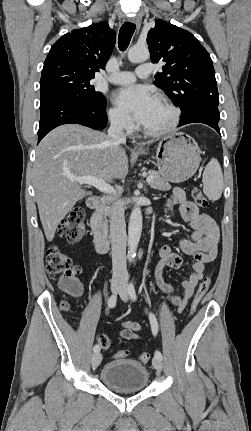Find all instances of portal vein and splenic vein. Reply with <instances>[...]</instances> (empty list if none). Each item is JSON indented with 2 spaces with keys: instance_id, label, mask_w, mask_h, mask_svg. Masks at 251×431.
Masks as SVG:
<instances>
[{
  "instance_id": "portal-vein-and-splenic-vein-1",
  "label": "portal vein and splenic vein",
  "mask_w": 251,
  "mask_h": 431,
  "mask_svg": "<svg viewBox=\"0 0 251 431\" xmlns=\"http://www.w3.org/2000/svg\"><path fill=\"white\" fill-rule=\"evenodd\" d=\"M69 179L72 181H76L80 184H88V185L94 186L100 192H103L105 194L115 193V189L113 186L107 184L104 180L94 176H70ZM153 180H154L153 176H148L146 178L147 183H151L153 182Z\"/></svg>"
}]
</instances>
